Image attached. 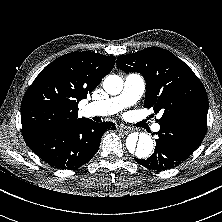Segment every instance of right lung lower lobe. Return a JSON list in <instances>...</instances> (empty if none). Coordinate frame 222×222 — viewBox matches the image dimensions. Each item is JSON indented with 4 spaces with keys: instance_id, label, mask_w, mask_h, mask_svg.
Segmentation results:
<instances>
[{
    "instance_id": "1",
    "label": "right lung lower lobe",
    "mask_w": 222,
    "mask_h": 222,
    "mask_svg": "<svg viewBox=\"0 0 222 222\" xmlns=\"http://www.w3.org/2000/svg\"><path fill=\"white\" fill-rule=\"evenodd\" d=\"M107 129L115 130V124L85 119L66 128L36 130L24 134L23 138L31 150L49 165L70 170L92 159Z\"/></svg>"
}]
</instances>
